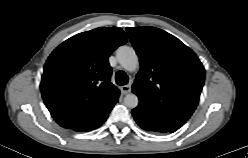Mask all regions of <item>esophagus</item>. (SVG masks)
<instances>
[{"mask_svg":"<svg viewBox=\"0 0 248 158\" xmlns=\"http://www.w3.org/2000/svg\"><path fill=\"white\" fill-rule=\"evenodd\" d=\"M121 91H122L123 94H128V93H130V91H131V85L128 84V85L122 86V87H121Z\"/></svg>","mask_w":248,"mask_h":158,"instance_id":"34e87169","label":"esophagus"}]
</instances>
